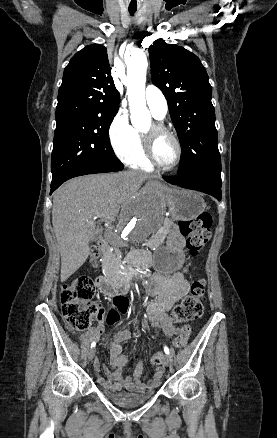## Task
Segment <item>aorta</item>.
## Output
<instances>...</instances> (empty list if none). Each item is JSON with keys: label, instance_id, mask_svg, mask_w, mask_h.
Here are the masks:
<instances>
[{"label": "aorta", "instance_id": "1", "mask_svg": "<svg viewBox=\"0 0 277 438\" xmlns=\"http://www.w3.org/2000/svg\"><path fill=\"white\" fill-rule=\"evenodd\" d=\"M126 64L131 123L141 128L151 120L145 100L147 58L141 49H134L126 58ZM163 216L164 202L157 192L148 190L139 194L122 215L112 239L114 246L126 250L145 242L159 228Z\"/></svg>", "mask_w": 277, "mask_h": 438}]
</instances>
